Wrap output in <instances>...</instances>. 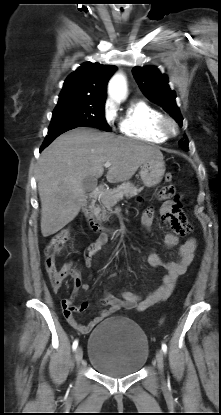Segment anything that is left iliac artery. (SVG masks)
I'll use <instances>...</instances> for the list:
<instances>
[{
	"label": "left iliac artery",
	"instance_id": "44dca946",
	"mask_svg": "<svg viewBox=\"0 0 221 415\" xmlns=\"http://www.w3.org/2000/svg\"><path fill=\"white\" fill-rule=\"evenodd\" d=\"M162 351H163L164 353H166V352H167V345H166L165 343H162Z\"/></svg>",
	"mask_w": 221,
	"mask_h": 415
}]
</instances>
